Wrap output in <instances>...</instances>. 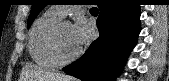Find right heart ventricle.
Masks as SVG:
<instances>
[{
	"instance_id": "e07e8e85",
	"label": "right heart ventricle",
	"mask_w": 169,
	"mask_h": 81,
	"mask_svg": "<svg viewBox=\"0 0 169 81\" xmlns=\"http://www.w3.org/2000/svg\"><path fill=\"white\" fill-rule=\"evenodd\" d=\"M62 16L52 8L45 11L33 24L28 49L32 60L43 68H56L58 62L51 52V36L53 29Z\"/></svg>"
}]
</instances>
